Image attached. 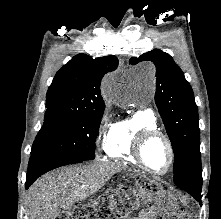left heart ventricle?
Here are the masks:
<instances>
[{
    "label": "left heart ventricle",
    "mask_w": 221,
    "mask_h": 219,
    "mask_svg": "<svg viewBox=\"0 0 221 219\" xmlns=\"http://www.w3.org/2000/svg\"><path fill=\"white\" fill-rule=\"evenodd\" d=\"M143 155L147 165L155 171L163 172L168 167V148L159 137L152 139L146 144Z\"/></svg>",
    "instance_id": "left-heart-ventricle-1"
}]
</instances>
